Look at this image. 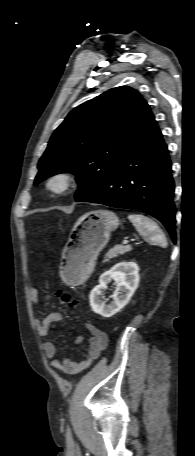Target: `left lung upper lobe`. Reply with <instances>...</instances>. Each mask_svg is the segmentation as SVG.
Segmentation results:
<instances>
[{
	"instance_id": "5c2ea615",
	"label": "left lung upper lobe",
	"mask_w": 195,
	"mask_h": 456,
	"mask_svg": "<svg viewBox=\"0 0 195 456\" xmlns=\"http://www.w3.org/2000/svg\"><path fill=\"white\" fill-rule=\"evenodd\" d=\"M150 112L134 89H110L73 109L53 133L38 163L34 184L72 173L79 184L76 201L95 193L115 167L124 147Z\"/></svg>"
}]
</instances>
